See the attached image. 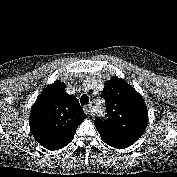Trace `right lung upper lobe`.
<instances>
[{
    "instance_id": "1",
    "label": "right lung upper lobe",
    "mask_w": 177,
    "mask_h": 177,
    "mask_svg": "<svg viewBox=\"0 0 177 177\" xmlns=\"http://www.w3.org/2000/svg\"><path fill=\"white\" fill-rule=\"evenodd\" d=\"M56 81L38 96L30 113V131L47 149H60L70 143L77 127L87 117L75 96Z\"/></svg>"
}]
</instances>
